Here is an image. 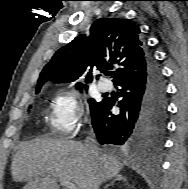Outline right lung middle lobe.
I'll return each instance as SVG.
<instances>
[{"label": "right lung middle lobe", "mask_w": 188, "mask_h": 189, "mask_svg": "<svg viewBox=\"0 0 188 189\" xmlns=\"http://www.w3.org/2000/svg\"><path fill=\"white\" fill-rule=\"evenodd\" d=\"M37 93H39V91H37L36 94ZM100 104H101V102H96L94 99L89 100V106H90L91 115H93L95 113V111L98 109ZM160 146L157 149H159Z\"/></svg>", "instance_id": "right-lung-middle-lobe-1"}]
</instances>
